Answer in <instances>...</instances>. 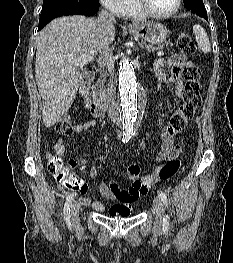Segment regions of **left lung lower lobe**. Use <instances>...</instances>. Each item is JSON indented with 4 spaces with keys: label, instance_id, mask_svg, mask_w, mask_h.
I'll return each instance as SVG.
<instances>
[{
    "label": "left lung lower lobe",
    "instance_id": "left-lung-lower-lobe-1",
    "mask_svg": "<svg viewBox=\"0 0 233 263\" xmlns=\"http://www.w3.org/2000/svg\"><path fill=\"white\" fill-rule=\"evenodd\" d=\"M201 17H203V18H205V19H207V13H204V14H202V15H200Z\"/></svg>",
    "mask_w": 233,
    "mask_h": 263
}]
</instances>
